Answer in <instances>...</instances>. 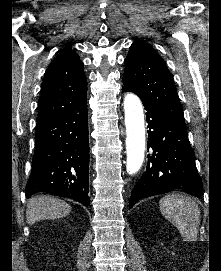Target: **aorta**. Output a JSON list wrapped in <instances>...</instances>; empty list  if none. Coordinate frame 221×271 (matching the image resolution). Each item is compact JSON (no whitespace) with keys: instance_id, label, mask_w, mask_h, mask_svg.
Masks as SVG:
<instances>
[{"instance_id":"aorta-1","label":"aorta","mask_w":221,"mask_h":271,"mask_svg":"<svg viewBox=\"0 0 221 271\" xmlns=\"http://www.w3.org/2000/svg\"><path fill=\"white\" fill-rule=\"evenodd\" d=\"M126 125L127 173H137L145 156V127L143 106L139 97L128 93L124 98Z\"/></svg>"}]
</instances>
